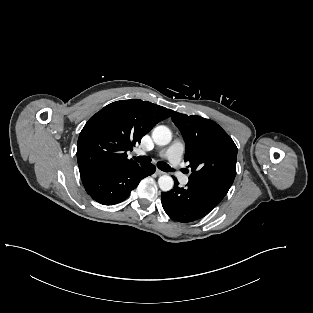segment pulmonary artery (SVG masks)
Here are the masks:
<instances>
[{
	"instance_id": "e3ab8cb5",
	"label": "pulmonary artery",
	"mask_w": 313,
	"mask_h": 313,
	"mask_svg": "<svg viewBox=\"0 0 313 313\" xmlns=\"http://www.w3.org/2000/svg\"><path fill=\"white\" fill-rule=\"evenodd\" d=\"M184 152V144L181 141H174L168 148L163 150L159 156L166 158L170 162L171 166L176 169L175 175L178 177L182 185H186L189 182L188 176L179 171L178 166L181 161Z\"/></svg>"
}]
</instances>
